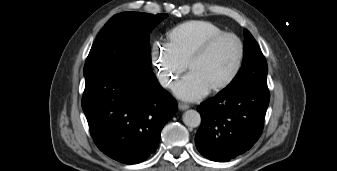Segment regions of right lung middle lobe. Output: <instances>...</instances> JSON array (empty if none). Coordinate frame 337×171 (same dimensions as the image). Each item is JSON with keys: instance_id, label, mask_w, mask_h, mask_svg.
<instances>
[{"instance_id": "dd1d6c3e", "label": "right lung middle lobe", "mask_w": 337, "mask_h": 171, "mask_svg": "<svg viewBox=\"0 0 337 171\" xmlns=\"http://www.w3.org/2000/svg\"><path fill=\"white\" fill-rule=\"evenodd\" d=\"M167 16L140 12H123L113 16L92 45L84 75L106 66H119L139 74H150L149 35Z\"/></svg>"}]
</instances>
